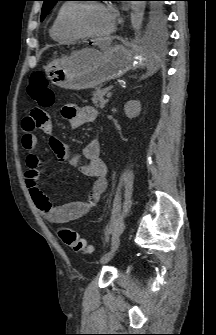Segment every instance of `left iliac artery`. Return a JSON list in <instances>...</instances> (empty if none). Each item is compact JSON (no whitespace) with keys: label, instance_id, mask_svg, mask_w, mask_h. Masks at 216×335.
I'll return each mask as SVG.
<instances>
[{"label":"left iliac artery","instance_id":"obj_1","mask_svg":"<svg viewBox=\"0 0 216 335\" xmlns=\"http://www.w3.org/2000/svg\"><path fill=\"white\" fill-rule=\"evenodd\" d=\"M120 244V238L117 234H113L110 242V250L117 249Z\"/></svg>","mask_w":216,"mask_h":335}]
</instances>
